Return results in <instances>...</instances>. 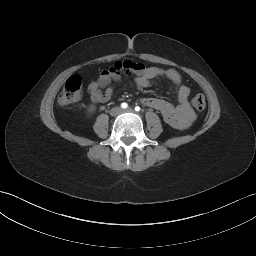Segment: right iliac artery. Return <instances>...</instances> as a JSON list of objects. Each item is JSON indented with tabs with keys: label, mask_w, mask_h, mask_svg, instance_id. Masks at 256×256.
I'll return each instance as SVG.
<instances>
[{
	"label": "right iliac artery",
	"mask_w": 256,
	"mask_h": 256,
	"mask_svg": "<svg viewBox=\"0 0 256 256\" xmlns=\"http://www.w3.org/2000/svg\"><path fill=\"white\" fill-rule=\"evenodd\" d=\"M121 107H122L123 109H126V108L128 107V104L124 102V103L121 104Z\"/></svg>",
	"instance_id": "obj_1"
}]
</instances>
